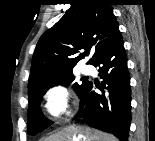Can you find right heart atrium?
<instances>
[{
  "label": "right heart atrium",
  "instance_id": "right-heart-atrium-1",
  "mask_svg": "<svg viewBox=\"0 0 155 141\" xmlns=\"http://www.w3.org/2000/svg\"><path fill=\"white\" fill-rule=\"evenodd\" d=\"M74 100L66 88L56 85L45 93V109L47 114L56 121L69 116L73 110Z\"/></svg>",
  "mask_w": 155,
  "mask_h": 141
}]
</instances>
